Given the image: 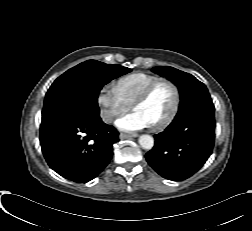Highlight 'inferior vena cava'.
I'll return each instance as SVG.
<instances>
[{"label": "inferior vena cava", "instance_id": "602c4592", "mask_svg": "<svg viewBox=\"0 0 252 231\" xmlns=\"http://www.w3.org/2000/svg\"><path fill=\"white\" fill-rule=\"evenodd\" d=\"M102 119L104 122H110L113 118V114L110 113L109 111H105L102 115H101Z\"/></svg>", "mask_w": 252, "mask_h": 231}]
</instances>
